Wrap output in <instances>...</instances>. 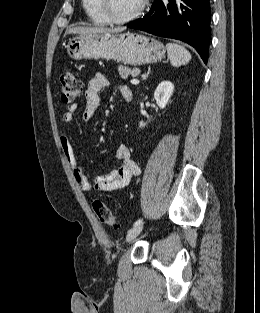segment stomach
<instances>
[{
  "mask_svg": "<svg viewBox=\"0 0 260 313\" xmlns=\"http://www.w3.org/2000/svg\"><path fill=\"white\" fill-rule=\"evenodd\" d=\"M66 49L75 60L104 58L133 66L155 63L166 52L156 39L131 32L79 35L69 40Z\"/></svg>",
  "mask_w": 260,
  "mask_h": 313,
  "instance_id": "stomach-1",
  "label": "stomach"
}]
</instances>
